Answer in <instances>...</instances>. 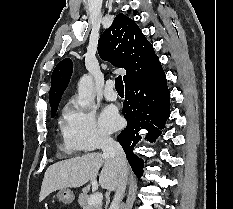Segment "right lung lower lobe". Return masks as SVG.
Wrapping results in <instances>:
<instances>
[{"instance_id": "obj_1", "label": "right lung lower lobe", "mask_w": 233, "mask_h": 209, "mask_svg": "<svg viewBox=\"0 0 233 209\" xmlns=\"http://www.w3.org/2000/svg\"><path fill=\"white\" fill-rule=\"evenodd\" d=\"M169 103L170 93L161 64L147 77L126 87L122 113L127 126L117 140L138 178H141L144 166L143 160L133 153L134 146L141 139L139 131L148 130L146 139L155 141L170 115Z\"/></svg>"}]
</instances>
